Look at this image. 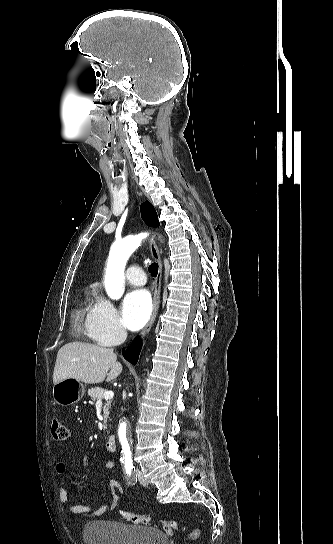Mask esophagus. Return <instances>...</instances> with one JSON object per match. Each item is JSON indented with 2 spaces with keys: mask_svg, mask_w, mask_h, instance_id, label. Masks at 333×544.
Instances as JSON below:
<instances>
[{
  "mask_svg": "<svg viewBox=\"0 0 333 544\" xmlns=\"http://www.w3.org/2000/svg\"><path fill=\"white\" fill-rule=\"evenodd\" d=\"M149 243H150V250H151L152 257L158 263V273H157L156 279L154 281V296H153L152 314H151V317H150L147 325L145 326V328L140 333L141 337L146 335L149 332V330L151 329V327H152V325H153V323H154V321L156 319L158 309H159V304H160L161 280H162V273H163V264H162L160 251H159V248L157 246V243H156V241H155V239L153 237H151L149 239Z\"/></svg>",
  "mask_w": 333,
  "mask_h": 544,
  "instance_id": "esophagus-1",
  "label": "esophagus"
}]
</instances>
